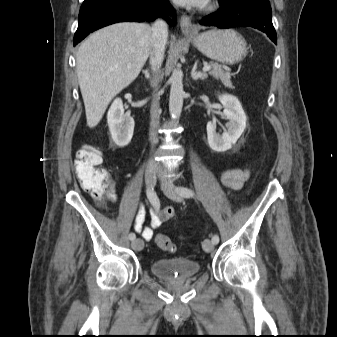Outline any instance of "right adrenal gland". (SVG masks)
I'll return each mask as SVG.
<instances>
[{
    "label": "right adrenal gland",
    "mask_w": 337,
    "mask_h": 337,
    "mask_svg": "<svg viewBox=\"0 0 337 337\" xmlns=\"http://www.w3.org/2000/svg\"><path fill=\"white\" fill-rule=\"evenodd\" d=\"M142 72H143V74L145 75L146 79H149V78H150V73H149L148 70H143Z\"/></svg>",
    "instance_id": "1"
}]
</instances>
